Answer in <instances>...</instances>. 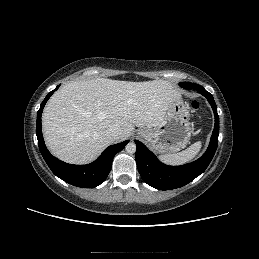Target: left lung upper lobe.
Instances as JSON below:
<instances>
[{
	"label": "left lung upper lobe",
	"mask_w": 259,
	"mask_h": 259,
	"mask_svg": "<svg viewBox=\"0 0 259 259\" xmlns=\"http://www.w3.org/2000/svg\"><path fill=\"white\" fill-rule=\"evenodd\" d=\"M180 86L186 89H197V87L200 85H197L194 83L182 82L180 83Z\"/></svg>",
	"instance_id": "left-lung-upper-lobe-1"
}]
</instances>
